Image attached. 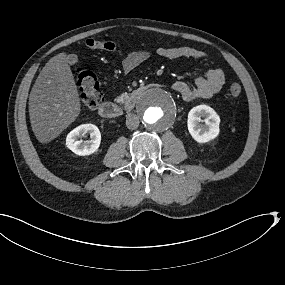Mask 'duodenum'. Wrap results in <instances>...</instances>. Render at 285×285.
<instances>
[{"label": "duodenum", "mask_w": 285, "mask_h": 285, "mask_svg": "<svg viewBox=\"0 0 285 285\" xmlns=\"http://www.w3.org/2000/svg\"><path fill=\"white\" fill-rule=\"evenodd\" d=\"M149 87L150 85L138 87L126 97L123 103L110 101L103 103L98 109V114L104 119H116L121 117L134 108L138 99Z\"/></svg>", "instance_id": "410a0bca"}]
</instances>
